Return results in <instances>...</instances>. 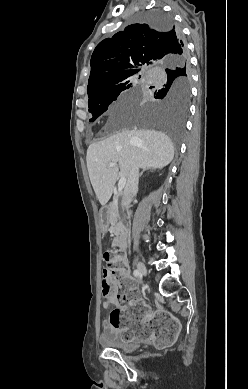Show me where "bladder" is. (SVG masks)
I'll use <instances>...</instances> for the list:
<instances>
[{
    "instance_id": "obj_1",
    "label": "bladder",
    "mask_w": 248,
    "mask_h": 389,
    "mask_svg": "<svg viewBox=\"0 0 248 389\" xmlns=\"http://www.w3.org/2000/svg\"><path fill=\"white\" fill-rule=\"evenodd\" d=\"M100 342L103 346L109 349H115L123 353H131L137 350L140 343L122 338V333L119 331L103 332L100 336Z\"/></svg>"
}]
</instances>
